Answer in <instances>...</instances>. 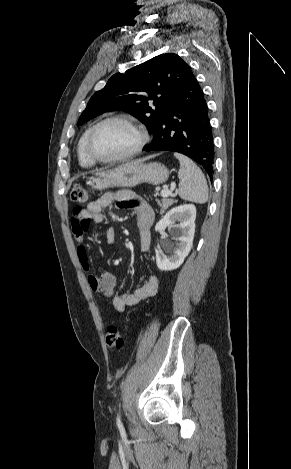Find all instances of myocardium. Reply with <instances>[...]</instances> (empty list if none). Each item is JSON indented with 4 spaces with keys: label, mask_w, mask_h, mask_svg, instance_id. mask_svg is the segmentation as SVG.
Masks as SVG:
<instances>
[{
    "label": "myocardium",
    "mask_w": 291,
    "mask_h": 469,
    "mask_svg": "<svg viewBox=\"0 0 291 469\" xmlns=\"http://www.w3.org/2000/svg\"><path fill=\"white\" fill-rule=\"evenodd\" d=\"M115 121L124 122L128 124L129 126H131L137 132L139 136V140L137 144L135 145V147L125 154L112 157V158L99 157L98 155L94 153L92 149L93 137L100 127H102L103 125L107 123L115 122ZM148 141H149V134L146 128L140 122H138L135 118L128 116V115H113V116L107 117L99 121L98 123H96L95 125L91 127L86 138L85 150H86L88 157L91 160H93L95 163H103V164L116 163V162L125 161L137 155L146 146Z\"/></svg>",
    "instance_id": "myocardium-1"
}]
</instances>
